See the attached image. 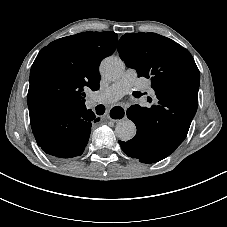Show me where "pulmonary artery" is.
I'll return each mask as SVG.
<instances>
[{
  "label": "pulmonary artery",
  "instance_id": "1",
  "mask_svg": "<svg viewBox=\"0 0 227 227\" xmlns=\"http://www.w3.org/2000/svg\"><path fill=\"white\" fill-rule=\"evenodd\" d=\"M134 87H136L139 91L149 93L151 96L155 95L152 90L153 84L149 80H145L144 78L138 79L135 69H127L122 77L115 81L112 85L94 92L92 100L101 104H112L132 91Z\"/></svg>",
  "mask_w": 227,
  "mask_h": 227
}]
</instances>
